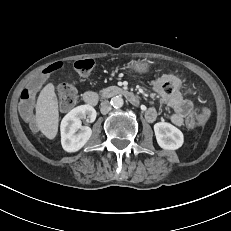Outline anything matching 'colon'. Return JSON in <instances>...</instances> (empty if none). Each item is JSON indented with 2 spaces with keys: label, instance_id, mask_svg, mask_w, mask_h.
<instances>
[{
  "label": "colon",
  "instance_id": "1",
  "mask_svg": "<svg viewBox=\"0 0 231 231\" xmlns=\"http://www.w3.org/2000/svg\"><path fill=\"white\" fill-rule=\"evenodd\" d=\"M94 66V60L89 58L78 60L74 64L75 70L80 76H87L88 74H90ZM60 68L61 63H55L50 65L46 68L44 73H40L37 75V83H34V85L23 90L20 99V109L24 115L30 116L32 113L35 97L38 92V85H47L49 82V77L47 74L55 72ZM169 81H174V78H169ZM174 86L177 88V91L180 94H185L188 98H194L197 95V90L194 87H188L180 80H175ZM58 96L61 109L67 111L75 106L78 98V92L73 84L65 83L59 87ZM209 116V108L203 106L198 110L196 116L190 117L187 120V125L189 127L203 125L209 119Z\"/></svg>",
  "mask_w": 231,
  "mask_h": 231
}]
</instances>
